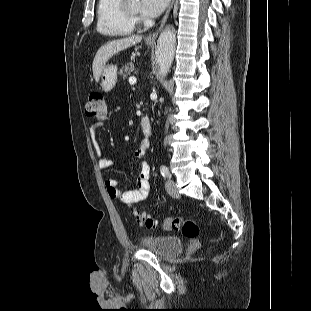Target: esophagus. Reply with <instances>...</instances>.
I'll use <instances>...</instances> for the list:
<instances>
[{
    "instance_id": "esophagus-1",
    "label": "esophagus",
    "mask_w": 311,
    "mask_h": 311,
    "mask_svg": "<svg viewBox=\"0 0 311 311\" xmlns=\"http://www.w3.org/2000/svg\"><path fill=\"white\" fill-rule=\"evenodd\" d=\"M174 1H175V0H171V3H170V5H169L168 8H167L166 13H165V15L163 16L162 21H161V24H160L159 28L157 29V31H155V32L152 33V34H149V35L146 37V40H147V41H155V40H156V38H157L159 32L162 30L163 26L165 25V23H166V21H167V18H168L169 14H170V11H171V9H172V7H173Z\"/></svg>"
}]
</instances>
